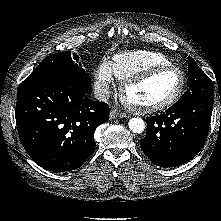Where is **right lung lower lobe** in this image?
<instances>
[{
	"mask_svg": "<svg viewBox=\"0 0 221 221\" xmlns=\"http://www.w3.org/2000/svg\"><path fill=\"white\" fill-rule=\"evenodd\" d=\"M80 83L65 78L22 82L15 118L20 140L43 168L63 172L83 165L96 143L95 129L109 120L106 103L92 101Z\"/></svg>",
	"mask_w": 221,
	"mask_h": 221,
	"instance_id": "98d812e1",
	"label": "right lung lower lobe"
}]
</instances>
